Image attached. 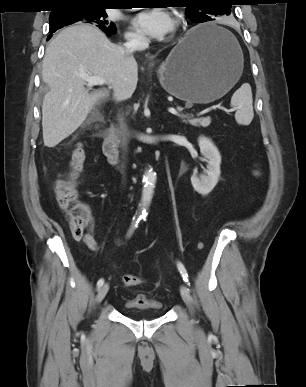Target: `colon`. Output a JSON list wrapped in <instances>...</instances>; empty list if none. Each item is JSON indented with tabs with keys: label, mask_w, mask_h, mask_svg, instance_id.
I'll use <instances>...</instances> for the list:
<instances>
[{
	"label": "colon",
	"mask_w": 306,
	"mask_h": 387,
	"mask_svg": "<svg viewBox=\"0 0 306 387\" xmlns=\"http://www.w3.org/2000/svg\"><path fill=\"white\" fill-rule=\"evenodd\" d=\"M85 158V148L82 144H78L72 152L69 172L64 178L56 181L54 188L56 201L67 216L74 238L85 236L89 226L85 210L79 203L77 190V178ZM121 281L124 286L133 287L142 284L144 279L138 275L126 274L121 277Z\"/></svg>",
	"instance_id": "colon-1"
}]
</instances>
